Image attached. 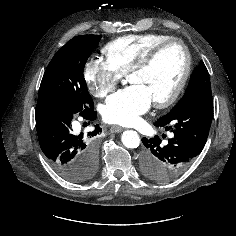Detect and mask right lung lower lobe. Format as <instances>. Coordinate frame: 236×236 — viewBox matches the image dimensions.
Segmentation results:
<instances>
[{
    "instance_id": "right-lung-lower-lobe-1",
    "label": "right lung lower lobe",
    "mask_w": 236,
    "mask_h": 236,
    "mask_svg": "<svg viewBox=\"0 0 236 236\" xmlns=\"http://www.w3.org/2000/svg\"><path fill=\"white\" fill-rule=\"evenodd\" d=\"M93 121L97 113L93 107L74 111L66 106L52 103H38L35 118L40 147L49 159L53 168L66 180L79 181L82 167L97 158V135L101 128L87 135L73 132V121L76 117Z\"/></svg>"
}]
</instances>
